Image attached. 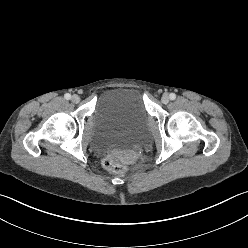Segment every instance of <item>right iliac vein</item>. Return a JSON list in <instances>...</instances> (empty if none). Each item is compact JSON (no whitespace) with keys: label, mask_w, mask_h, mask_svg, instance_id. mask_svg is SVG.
<instances>
[{"label":"right iliac vein","mask_w":248,"mask_h":248,"mask_svg":"<svg viewBox=\"0 0 248 248\" xmlns=\"http://www.w3.org/2000/svg\"><path fill=\"white\" fill-rule=\"evenodd\" d=\"M71 100H72V102L73 103H75V104H77V103H79V101H80V97L78 96V95H73L72 97H71Z\"/></svg>","instance_id":"63e3f726"}]
</instances>
